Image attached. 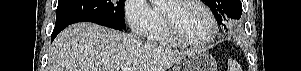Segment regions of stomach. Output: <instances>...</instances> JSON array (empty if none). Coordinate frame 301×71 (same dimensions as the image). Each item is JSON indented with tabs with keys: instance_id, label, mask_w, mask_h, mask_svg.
Returning a JSON list of instances; mask_svg holds the SVG:
<instances>
[{
	"instance_id": "1",
	"label": "stomach",
	"mask_w": 301,
	"mask_h": 71,
	"mask_svg": "<svg viewBox=\"0 0 301 71\" xmlns=\"http://www.w3.org/2000/svg\"><path fill=\"white\" fill-rule=\"evenodd\" d=\"M171 71H217L215 59L203 49L189 51Z\"/></svg>"
}]
</instances>
